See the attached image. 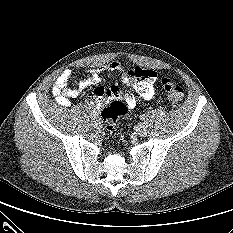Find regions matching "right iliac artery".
<instances>
[{
  "label": "right iliac artery",
  "mask_w": 233,
  "mask_h": 233,
  "mask_svg": "<svg viewBox=\"0 0 233 233\" xmlns=\"http://www.w3.org/2000/svg\"><path fill=\"white\" fill-rule=\"evenodd\" d=\"M97 116H98V114H97L96 111H92V112H91V117H92V118L95 119V118H97Z\"/></svg>",
  "instance_id": "82829eb1"
}]
</instances>
